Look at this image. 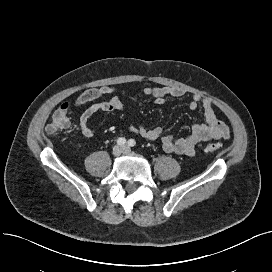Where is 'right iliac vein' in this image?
<instances>
[{
  "label": "right iliac vein",
  "instance_id": "right-iliac-vein-1",
  "mask_svg": "<svg viewBox=\"0 0 272 272\" xmlns=\"http://www.w3.org/2000/svg\"><path fill=\"white\" fill-rule=\"evenodd\" d=\"M123 152V148L119 145H116L113 147V150H112V154L113 156L117 157L119 155H121Z\"/></svg>",
  "mask_w": 272,
  "mask_h": 272
}]
</instances>
